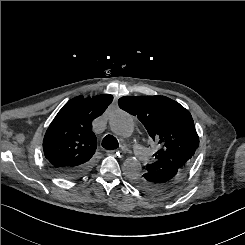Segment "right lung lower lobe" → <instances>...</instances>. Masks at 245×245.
<instances>
[{
  "label": "right lung lower lobe",
  "instance_id": "98d812e1",
  "mask_svg": "<svg viewBox=\"0 0 245 245\" xmlns=\"http://www.w3.org/2000/svg\"><path fill=\"white\" fill-rule=\"evenodd\" d=\"M92 161L76 168H51L57 175L66 179L80 178L90 172Z\"/></svg>",
  "mask_w": 245,
  "mask_h": 245
}]
</instances>
